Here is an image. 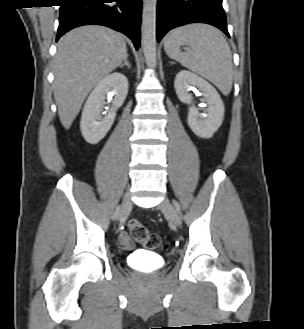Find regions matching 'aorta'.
Returning a JSON list of instances; mask_svg holds the SVG:
<instances>
[{"mask_svg":"<svg viewBox=\"0 0 304 329\" xmlns=\"http://www.w3.org/2000/svg\"><path fill=\"white\" fill-rule=\"evenodd\" d=\"M156 9L157 0H144L142 13V48L150 67L157 63L156 54Z\"/></svg>","mask_w":304,"mask_h":329,"instance_id":"1","label":"aorta"}]
</instances>
